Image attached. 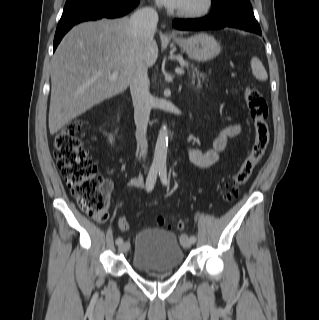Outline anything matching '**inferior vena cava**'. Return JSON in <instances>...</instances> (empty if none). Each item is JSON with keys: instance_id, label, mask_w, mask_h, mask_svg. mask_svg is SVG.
<instances>
[{"instance_id": "1", "label": "inferior vena cava", "mask_w": 319, "mask_h": 320, "mask_svg": "<svg viewBox=\"0 0 319 320\" xmlns=\"http://www.w3.org/2000/svg\"><path fill=\"white\" fill-rule=\"evenodd\" d=\"M130 22L134 36L140 42H146L152 39L156 31L158 14L154 8L144 7L133 13ZM130 91L134 106L135 125L139 133L140 155L145 158L148 148L146 132L150 117L151 94L147 67L143 63L138 64L134 71Z\"/></svg>"}]
</instances>
